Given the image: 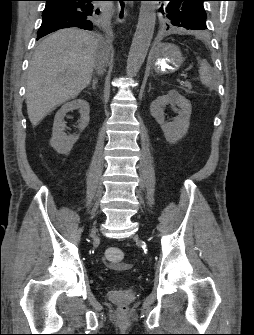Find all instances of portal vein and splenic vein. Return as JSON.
<instances>
[{
	"instance_id": "obj_1",
	"label": "portal vein and splenic vein",
	"mask_w": 254,
	"mask_h": 335,
	"mask_svg": "<svg viewBox=\"0 0 254 335\" xmlns=\"http://www.w3.org/2000/svg\"><path fill=\"white\" fill-rule=\"evenodd\" d=\"M183 77H184V78H187V74H183Z\"/></svg>"
}]
</instances>
